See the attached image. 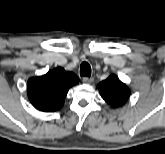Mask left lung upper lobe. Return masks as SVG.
<instances>
[{"label":"left lung upper lobe","instance_id":"obj_1","mask_svg":"<svg viewBox=\"0 0 165 154\" xmlns=\"http://www.w3.org/2000/svg\"><path fill=\"white\" fill-rule=\"evenodd\" d=\"M102 98L112 107H119L126 103L130 90L116 75L109 76L99 84Z\"/></svg>","mask_w":165,"mask_h":154}]
</instances>
